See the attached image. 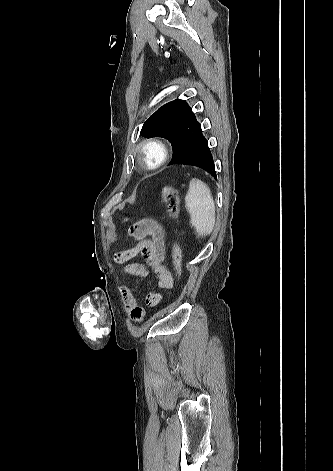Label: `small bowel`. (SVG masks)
I'll return each mask as SVG.
<instances>
[{
    "mask_svg": "<svg viewBox=\"0 0 333 471\" xmlns=\"http://www.w3.org/2000/svg\"><path fill=\"white\" fill-rule=\"evenodd\" d=\"M130 235L136 240L137 244L117 252L114 261L117 264H124L138 253H141L146 263L126 264L123 272L145 279L152 271L157 278L160 289H171L174 281L164 263L165 233L163 228L152 219H142L131 227ZM118 291L129 319L133 322H141L145 317L146 310L144 306L137 302L133 290L121 284ZM162 299L163 295L160 292H149L145 297V305L155 307L161 303Z\"/></svg>",
    "mask_w": 333,
    "mask_h": 471,
    "instance_id": "c3829d8e",
    "label": "small bowel"
}]
</instances>
